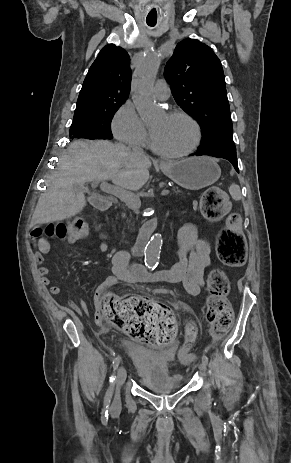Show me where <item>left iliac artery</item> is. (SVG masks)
<instances>
[{"mask_svg": "<svg viewBox=\"0 0 291 463\" xmlns=\"http://www.w3.org/2000/svg\"><path fill=\"white\" fill-rule=\"evenodd\" d=\"M202 362L205 363L206 365L208 364V357L203 355L202 357Z\"/></svg>", "mask_w": 291, "mask_h": 463, "instance_id": "left-iliac-artery-1", "label": "left iliac artery"}]
</instances>
